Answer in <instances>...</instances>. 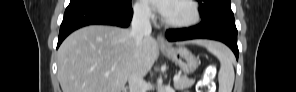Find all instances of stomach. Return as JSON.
Returning <instances> with one entry per match:
<instances>
[{
    "mask_svg": "<svg viewBox=\"0 0 296 92\" xmlns=\"http://www.w3.org/2000/svg\"><path fill=\"white\" fill-rule=\"evenodd\" d=\"M161 51L167 58L178 65L186 75L193 73L198 68V59L182 45L176 48H161Z\"/></svg>",
    "mask_w": 296,
    "mask_h": 92,
    "instance_id": "1",
    "label": "stomach"
}]
</instances>
